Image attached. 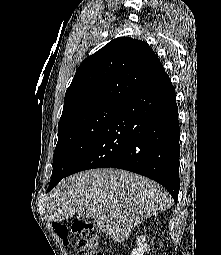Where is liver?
Here are the masks:
<instances>
[{
	"label": "liver",
	"mask_w": 221,
	"mask_h": 255,
	"mask_svg": "<svg viewBox=\"0 0 221 255\" xmlns=\"http://www.w3.org/2000/svg\"><path fill=\"white\" fill-rule=\"evenodd\" d=\"M170 195L144 176L118 169H92L65 178L48 197V219L68 220L87 211L102 232L124 242L143 220L171 206Z\"/></svg>",
	"instance_id": "1"
}]
</instances>
